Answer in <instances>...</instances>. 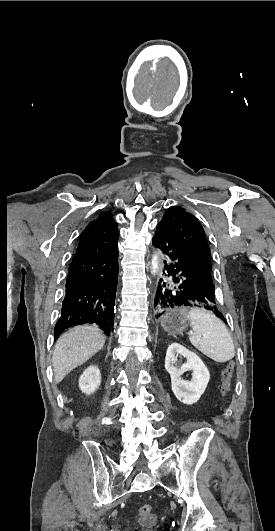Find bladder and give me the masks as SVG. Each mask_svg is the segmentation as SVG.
<instances>
[{"mask_svg": "<svg viewBox=\"0 0 275 531\" xmlns=\"http://www.w3.org/2000/svg\"><path fill=\"white\" fill-rule=\"evenodd\" d=\"M142 518H143V520H145L144 523L147 524V525H149V524H153V523L155 522V520L157 519V518L154 517V516H150V515L148 516V515H146V514L143 515Z\"/></svg>", "mask_w": 275, "mask_h": 531, "instance_id": "31cf9c89", "label": "bladder"}]
</instances>
